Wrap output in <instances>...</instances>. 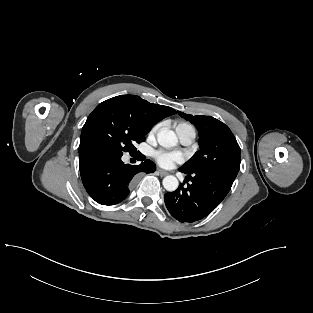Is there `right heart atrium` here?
Listing matches in <instances>:
<instances>
[{"instance_id": "obj_1", "label": "right heart atrium", "mask_w": 313, "mask_h": 313, "mask_svg": "<svg viewBox=\"0 0 313 313\" xmlns=\"http://www.w3.org/2000/svg\"><path fill=\"white\" fill-rule=\"evenodd\" d=\"M159 129H160V125H159V124L155 125V126L151 129L150 134H151V135L156 134Z\"/></svg>"}]
</instances>
